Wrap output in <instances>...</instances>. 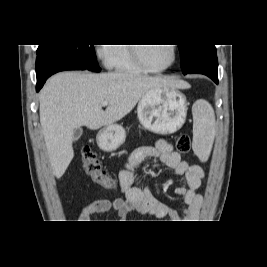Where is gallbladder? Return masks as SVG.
Returning <instances> with one entry per match:
<instances>
[{
	"label": "gallbladder",
	"instance_id": "bac80fb5",
	"mask_svg": "<svg viewBox=\"0 0 267 267\" xmlns=\"http://www.w3.org/2000/svg\"><path fill=\"white\" fill-rule=\"evenodd\" d=\"M82 133H83L82 128L75 129L73 133V141L76 142L81 137Z\"/></svg>",
	"mask_w": 267,
	"mask_h": 267
}]
</instances>
